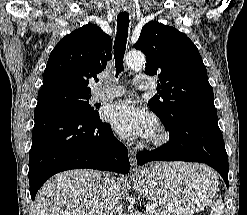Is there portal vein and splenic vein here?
Listing matches in <instances>:
<instances>
[{
  "label": "portal vein and splenic vein",
  "instance_id": "1",
  "mask_svg": "<svg viewBox=\"0 0 247 215\" xmlns=\"http://www.w3.org/2000/svg\"><path fill=\"white\" fill-rule=\"evenodd\" d=\"M146 212H147V214H149V215H153V214L155 213V210H154L153 208L147 207V208H146Z\"/></svg>",
  "mask_w": 247,
  "mask_h": 215
}]
</instances>
